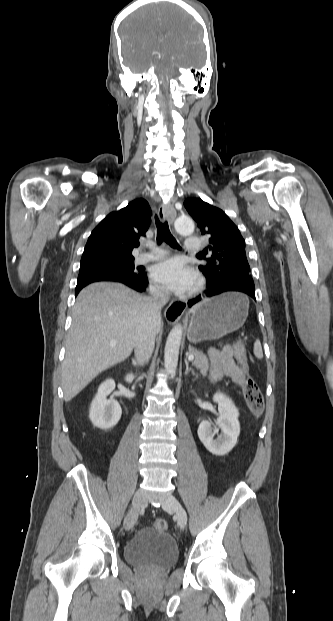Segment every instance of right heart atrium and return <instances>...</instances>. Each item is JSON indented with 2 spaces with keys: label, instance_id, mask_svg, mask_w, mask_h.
<instances>
[{
  "label": "right heart atrium",
  "instance_id": "d8ad5b80",
  "mask_svg": "<svg viewBox=\"0 0 333 621\" xmlns=\"http://www.w3.org/2000/svg\"><path fill=\"white\" fill-rule=\"evenodd\" d=\"M151 289H152V292H153L155 295H158V296L162 295V291H161V289H160V288H158V287H156V286H152V288H151Z\"/></svg>",
  "mask_w": 333,
  "mask_h": 621
}]
</instances>
